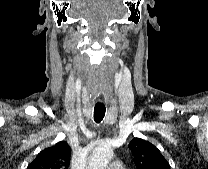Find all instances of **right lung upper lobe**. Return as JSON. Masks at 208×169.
<instances>
[{"label":"right lung upper lobe","instance_id":"obj_1","mask_svg":"<svg viewBox=\"0 0 208 169\" xmlns=\"http://www.w3.org/2000/svg\"><path fill=\"white\" fill-rule=\"evenodd\" d=\"M71 149L67 142L60 141L42 150L27 169H68Z\"/></svg>","mask_w":208,"mask_h":169}]
</instances>
